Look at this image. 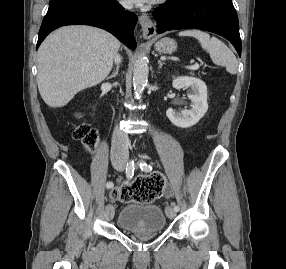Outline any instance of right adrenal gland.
I'll return each instance as SVG.
<instances>
[{"instance_id": "obj_1", "label": "right adrenal gland", "mask_w": 286, "mask_h": 269, "mask_svg": "<svg viewBox=\"0 0 286 269\" xmlns=\"http://www.w3.org/2000/svg\"><path fill=\"white\" fill-rule=\"evenodd\" d=\"M118 72H119V65L116 66L115 71L112 73V75L109 78L116 77L118 75Z\"/></svg>"}]
</instances>
